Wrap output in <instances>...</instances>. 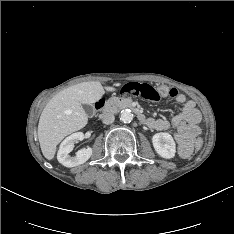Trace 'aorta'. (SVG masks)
<instances>
[{
    "instance_id": "obj_1",
    "label": "aorta",
    "mask_w": 234,
    "mask_h": 234,
    "mask_svg": "<svg viewBox=\"0 0 234 234\" xmlns=\"http://www.w3.org/2000/svg\"><path fill=\"white\" fill-rule=\"evenodd\" d=\"M120 120L123 123H130L133 120V113L129 109H125L121 111Z\"/></svg>"
}]
</instances>
